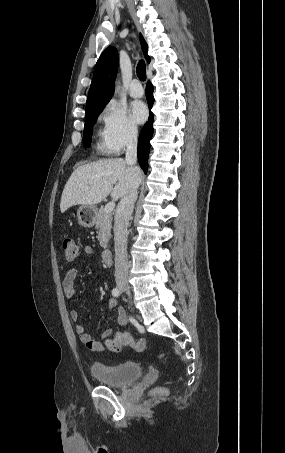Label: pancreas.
Segmentation results:
<instances>
[{"label":"pancreas","instance_id":"cf45deb5","mask_svg":"<svg viewBox=\"0 0 285 453\" xmlns=\"http://www.w3.org/2000/svg\"><path fill=\"white\" fill-rule=\"evenodd\" d=\"M112 215L107 213L105 209L101 208L96 213L95 228L99 230L98 240L100 246L104 249L107 248L109 238L111 237Z\"/></svg>","mask_w":285,"mask_h":453}]
</instances>
